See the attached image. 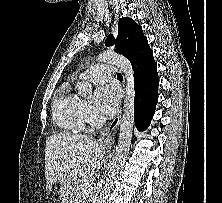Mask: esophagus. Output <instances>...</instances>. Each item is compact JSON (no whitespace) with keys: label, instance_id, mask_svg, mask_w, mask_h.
<instances>
[{"label":"esophagus","instance_id":"1","mask_svg":"<svg viewBox=\"0 0 222 203\" xmlns=\"http://www.w3.org/2000/svg\"><path fill=\"white\" fill-rule=\"evenodd\" d=\"M121 120V113L118 114L100 133L99 142L103 146L111 147L116 129Z\"/></svg>","mask_w":222,"mask_h":203}]
</instances>
